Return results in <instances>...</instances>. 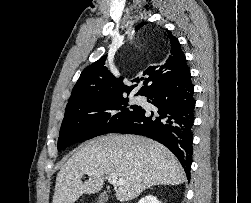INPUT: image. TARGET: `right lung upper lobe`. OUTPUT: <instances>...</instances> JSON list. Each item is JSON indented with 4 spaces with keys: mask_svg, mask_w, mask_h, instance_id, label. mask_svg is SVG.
<instances>
[{
    "mask_svg": "<svg viewBox=\"0 0 251 203\" xmlns=\"http://www.w3.org/2000/svg\"><path fill=\"white\" fill-rule=\"evenodd\" d=\"M143 24L138 25L136 29L138 30ZM167 33L170 49L168 58L161 65L149 66L143 72V75L147 77L136 95L145 96L151 88L178 75L187 67L186 57L181 50L179 41L169 31ZM105 60L106 56H103L82 71L73 87L67 105L91 100L119 98L132 91L135 85L126 86L123 84V77L118 79L114 77L105 66ZM134 81L138 83L139 78L132 80V82Z\"/></svg>",
    "mask_w": 251,
    "mask_h": 203,
    "instance_id": "obj_1",
    "label": "right lung upper lobe"
}]
</instances>
